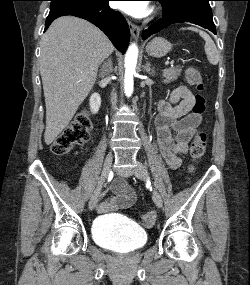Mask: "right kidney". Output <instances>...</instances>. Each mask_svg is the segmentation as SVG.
<instances>
[{
    "instance_id": "right-kidney-1",
    "label": "right kidney",
    "mask_w": 250,
    "mask_h": 285,
    "mask_svg": "<svg viewBox=\"0 0 250 285\" xmlns=\"http://www.w3.org/2000/svg\"><path fill=\"white\" fill-rule=\"evenodd\" d=\"M101 106V97L98 93H93L90 97V110L92 113H97Z\"/></svg>"
}]
</instances>
